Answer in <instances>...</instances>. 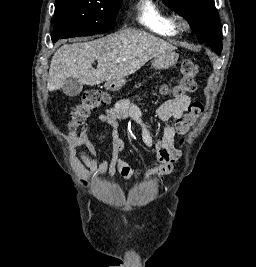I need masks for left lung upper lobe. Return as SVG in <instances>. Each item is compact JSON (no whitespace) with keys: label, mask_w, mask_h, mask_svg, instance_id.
<instances>
[{"label":"left lung upper lobe","mask_w":256,"mask_h":267,"mask_svg":"<svg viewBox=\"0 0 256 267\" xmlns=\"http://www.w3.org/2000/svg\"><path fill=\"white\" fill-rule=\"evenodd\" d=\"M172 10L183 16L197 37L218 55L222 50V34L214 0H163Z\"/></svg>","instance_id":"5c2ea615"}]
</instances>
